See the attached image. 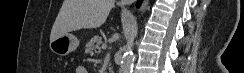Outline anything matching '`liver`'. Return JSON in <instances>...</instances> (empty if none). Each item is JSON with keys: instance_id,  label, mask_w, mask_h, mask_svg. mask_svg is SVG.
Masks as SVG:
<instances>
[{"instance_id": "obj_1", "label": "liver", "mask_w": 244, "mask_h": 73, "mask_svg": "<svg viewBox=\"0 0 244 73\" xmlns=\"http://www.w3.org/2000/svg\"><path fill=\"white\" fill-rule=\"evenodd\" d=\"M115 0H64L53 24L50 42L80 29L100 27L107 19Z\"/></svg>"}]
</instances>
